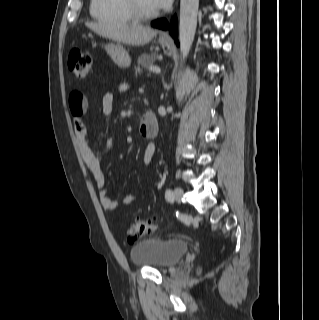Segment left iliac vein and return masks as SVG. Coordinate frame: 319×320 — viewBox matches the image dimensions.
<instances>
[{
	"mask_svg": "<svg viewBox=\"0 0 319 320\" xmlns=\"http://www.w3.org/2000/svg\"><path fill=\"white\" fill-rule=\"evenodd\" d=\"M183 196V190L181 188H175L174 190V200L180 202Z\"/></svg>",
	"mask_w": 319,
	"mask_h": 320,
	"instance_id": "1",
	"label": "left iliac vein"
}]
</instances>
